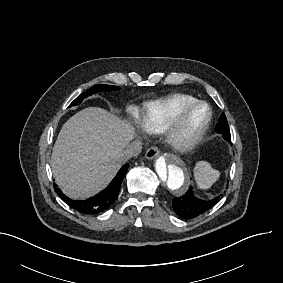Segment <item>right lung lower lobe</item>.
<instances>
[{"instance_id": "obj_1", "label": "right lung lower lobe", "mask_w": 283, "mask_h": 283, "mask_svg": "<svg viewBox=\"0 0 283 283\" xmlns=\"http://www.w3.org/2000/svg\"><path fill=\"white\" fill-rule=\"evenodd\" d=\"M128 167V164L124 165L106 189L86 200L70 199L65 196L60 189L56 188V184H54V189L62 200L78 212L82 214H98L107 210L117 198L122 180L128 170Z\"/></svg>"}]
</instances>
